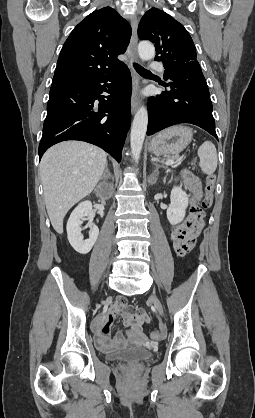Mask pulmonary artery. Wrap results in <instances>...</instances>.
Returning <instances> with one entry per match:
<instances>
[{
    "mask_svg": "<svg viewBox=\"0 0 255 418\" xmlns=\"http://www.w3.org/2000/svg\"><path fill=\"white\" fill-rule=\"evenodd\" d=\"M151 69L161 71L163 69L162 65L157 62H152L150 65Z\"/></svg>",
    "mask_w": 255,
    "mask_h": 418,
    "instance_id": "e3ab8cb5",
    "label": "pulmonary artery"
}]
</instances>
